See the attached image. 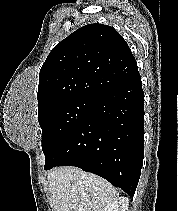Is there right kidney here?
<instances>
[{"label": "right kidney", "instance_id": "obj_1", "mask_svg": "<svg viewBox=\"0 0 178 211\" xmlns=\"http://www.w3.org/2000/svg\"><path fill=\"white\" fill-rule=\"evenodd\" d=\"M129 199L127 197H118L113 202L107 204L102 211H127Z\"/></svg>", "mask_w": 178, "mask_h": 211}]
</instances>
